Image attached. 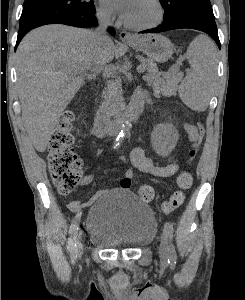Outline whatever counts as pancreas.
<instances>
[{
    "mask_svg": "<svg viewBox=\"0 0 245 300\" xmlns=\"http://www.w3.org/2000/svg\"><path fill=\"white\" fill-rule=\"evenodd\" d=\"M145 70H147L146 81L155 93H161L165 97L176 94L178 84L182 79V74L177 68H172L166 73L159 72L157 64L152 60H145ZM111 76L113 74L111 73ZM102 107L110 115L118 114L124 107V99L119 79L108 81L103 91Z\"/></svg>",
    "mask_w": 245,
    "mask_h": 300,
    "instance_id": "pancreas-1",
    "label": "pancreas"
}]
</instances>
